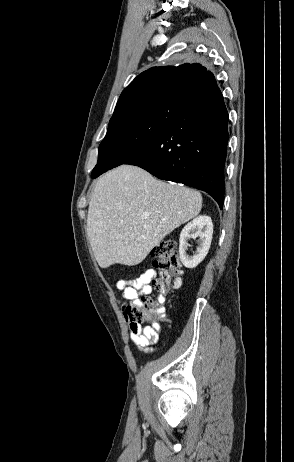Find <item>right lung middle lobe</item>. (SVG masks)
Segmentation results:
<instances>
[{
  "label": "right lung middle lobe",
  "mask_w": 294,
  "mask_h": 462,
  "mask_svg": "<svg viewBox=\"0 0 294 462\" xmlns=\"http://www.w3.org/2000/svg\"><path fill=\"white\" fill-rule=\"evenodd\" d=\"M186 104L180 93H169L137 102L115 112L99 146L92 174L101 175L123 164L143 144L161 132Z\"/></svg>",
  "instance_id": "dd1d6c3e"
}]
</instances>
